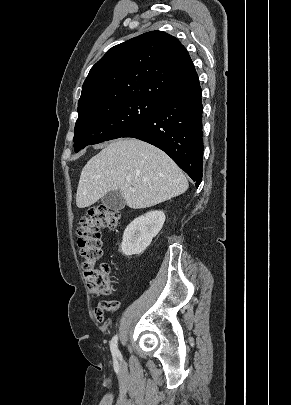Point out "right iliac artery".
Returning <instances> with one entry per match:
<instances>
[{
  "mask_svg": "<svg viewBox=\"0 0 291 405\" xmlns=\"http://www.w3.org/2000/svg\"><path fill=\"white\" fill-rule=\"evenodd\" d=\"M117 343H118V336L115 335L111 340L110 349L114 357L121 359V353L118 350Z\"/></svg>",
  "mask_w": 291,
  "mask_h": 405,
  "instance_id": "obj_1",
  "label": "right iliac artery"
}]
</instances>
